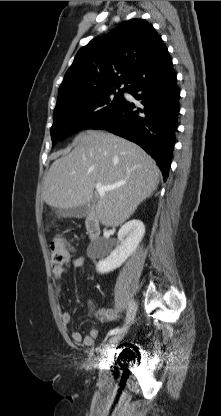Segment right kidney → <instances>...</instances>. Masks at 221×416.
<instances>
[{
    "label": "right kidney",
    "mask_w": 221,
    "mask_h": 416,
    "mask_svg": "<svg viewBox=\"0 0 221 416\" xmlns=\"http://www.w3.org/2000/svg\"><path fill=\"white\" fill-rule=\"evenodd\" d=\"M144 234L145 226L142 221L133 219L125 223L118 232L120 245H117L105 259L98 262L97 271L104 274L120 267L135 252Z\"/></svg>",
    "instance_id": "ca27d5eb"
}]
</instances>
